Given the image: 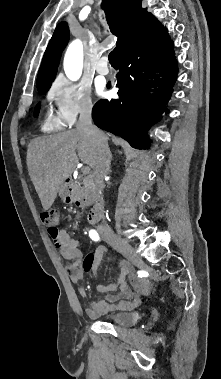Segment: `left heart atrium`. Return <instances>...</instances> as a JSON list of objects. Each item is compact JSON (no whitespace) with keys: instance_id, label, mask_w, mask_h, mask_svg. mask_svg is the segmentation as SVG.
<instances>
[{"instance_id":"1","label":"left heart atrium","mask_w":221,"mask_h":379,"mask_svg":"<svg viewBox=\"0 0 221 379\" xmlns=\"http://www.w3.org/2000/svg\"><path fill=\"white\" fill-rule=\"evenodd\" d=\"M98 91H99V93H102V88L99 87V88H98Z\"/></svg>"}]
</instances>
